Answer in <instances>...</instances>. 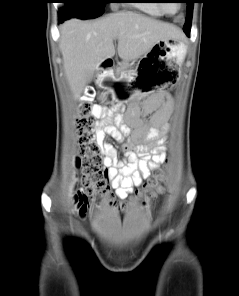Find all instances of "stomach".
Returning <instances> with one entry per match:
<instances>
[{"label":"stomach","mask_w":239,"mask_h":296,"mask_svg":"<svg viewBox=\"0 0 239 296\" xmlns=\"http://www.w3.org/2000/svg\"><path fill=\"white\" fill-rule=\"evenodd\" d=\"M187 46L178 38L156 41L138 62V69H122L118 84L172 83L185 59ZM107 90V85L101 86ZM171 85H110V90H143L144 94H162ZM117 101H138L134 93H116Z\"/></svg>","instance_id":"1"}]
</instances>
